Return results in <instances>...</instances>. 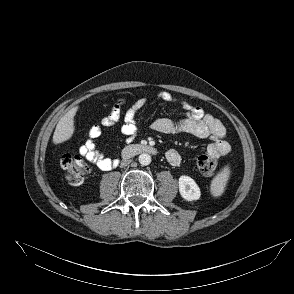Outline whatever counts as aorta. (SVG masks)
I'll return each mask as SVG.
<instances>
[{
    "label": "aorta",
    "instance_id": "aorta-1",
    "mask_svg": "<svg viewBox=\"0 0 294 294\" xmlns=\"http://www.w3.org/2000/svg\"><path fill=\"white\" fill-rule=\"evenodd\" d=\"M139 163L143 166L149 165L151 163V156L147 153L140 154Z\"/></svg>",
    "mask_w": 294,
    "mask_h": 294
}]
</instances>
